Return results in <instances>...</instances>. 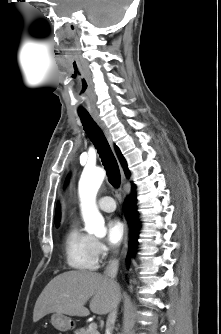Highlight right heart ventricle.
Listing matches in <instances>:
<instances>
[{"instance_id":"e07e8e85","label":"right heart ventricle","mask_w":221,"mask_h":334,"mask_svg":"<svg viewBox=\"0 0 221 334\" xmlns=\"http://www.w3.org/2000/svg\"><path fill=\"white\" fill-rule=\"evenodd\" d=\"M95 239L82 232L77 222H72L64 236V252L69 267L79 271H94L99 265Z\"/></svg>"}]
</instances>
